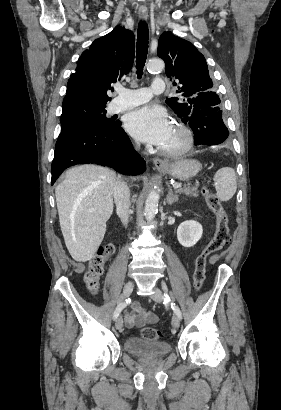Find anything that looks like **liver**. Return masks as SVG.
Returning <instances> with one entry per match:
<instances>
[{"label": "liver", "mask_w": 281, "mask_h": 410, "mask_svg": "<svg viewBox=\"0 0 281 410\" xmlns=\"http://www.w3.org/2000/svg\"><path fill=\"white\" fill-rule=\"evenodd\" d=\"M115 182L114 171L85 164L69 169L56 186L61 231L75 261H88L100 246L113 213Z\"/></svg>", "instance_id": "6515ba94"}]
</instances>
